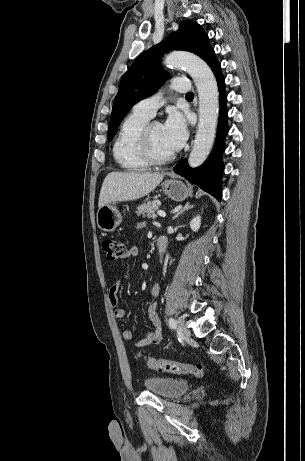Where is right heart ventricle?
I'll return each instance as SVG.
<instances>
[{
  "mask_svg": "<svg viewBox=\"0 0 305 461\" xmlns=\"http://www.w3.org/2000/svg\"><path fill=\"white\" fill-rule=\"evenodd\" d=\"M149 120L148 116L133 110L122 122L113 145L114 158L122 169L141 171L149 166L138 146L141 130Z\"/></svg>",
  "mask_w": 305,
  "mask_h": 461,
  "instance_id": "1",
  "label": "right heart ventricle"
}]
</instances>
